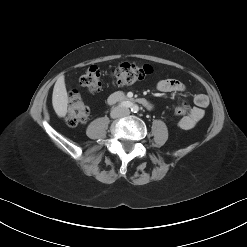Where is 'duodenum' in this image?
<instances>
[{"label":"duodenum","instance_id":"obj_1","mask_svg":"<svg viewBox=\"0 0 247 247\" xmlns=\"http://www.w3.org/2000/svg\"><path fill=\"white\" fill-rule=\"evenodd\" d=\"M119 101H129V102H131V101H134V99L129 98V97L125 96L122 93H114L109 97V102H111V103H115V102H119ZM140 102L141 103H145L144 100H140Z\"/></svg>","mask_w":247,"mask_h":247}]
</instances>
